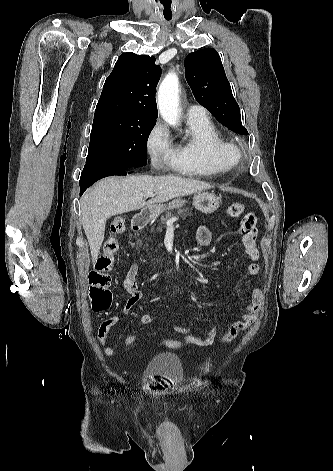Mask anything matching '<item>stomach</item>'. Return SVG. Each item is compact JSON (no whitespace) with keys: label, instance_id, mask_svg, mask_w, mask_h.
<instances>
[{"label":"stomach","instance_id":"0dacf381","mask_svg":"<svg viewBox=\"0 0 333 471\" xmlns=\"http://www.w3.org/2000/svg\"><path fill=\"white\" fill-rule=\"evenodd\" d=\"M184 200L181 198H176L168 203V205L158 204L151 207V210L154 213H161L164 210L177 209L182 207ZM221 204V197L216 196L213 193L207 192H198L193 197L194 207L202 213H213L215 212Z\"/></svg>","mask_w":333,"mask_h":471}]
</instances>
